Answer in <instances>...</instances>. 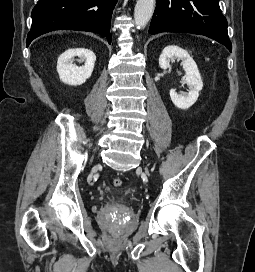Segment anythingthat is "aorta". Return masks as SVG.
Masks as SVG:
<instances>
[{
	"mask_svg": "<svg viewBox=\"0 0 255 272\" xmlns=\"http://www.w3.org/2000/svg\"><path fill=\"white\" fill-rule=\"evenodd\" d=\"M155 0H137L134 10V22L137 29L144 28L153 15Z\"/></svg>",
	"mask_w": 255,
	"mask_h": 272,
	"instance_id": "obj_1",
	"label": "aorta"
}]
</instances>
